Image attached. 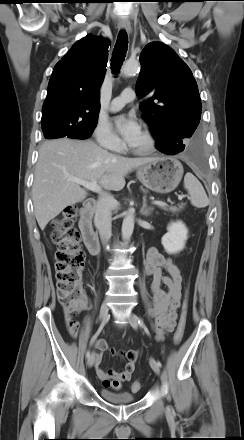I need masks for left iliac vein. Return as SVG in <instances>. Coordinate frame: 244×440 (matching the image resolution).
Wrapping results in <instances>:
<instances>
[{
  "instance_id": "obj_1",
  "label": "left iliac vein",
  "mask_w": 244,
  "mask_h": 440,
  "mask_svg": "<svg viewBox=\"0 0 244 440\" xmlns=\"http://www.w3.org/2000/svg\"><path fill=\"white\" fill-rule=\"evenodd\" d=\"M129 321H130L131 326L134 329L138 328V317L135 313L132 312L130 314ZM150 366L156 374H160V368L158 367V365L156 364V361L153 358H150Z\"/></svg>"
}]
</instances>
